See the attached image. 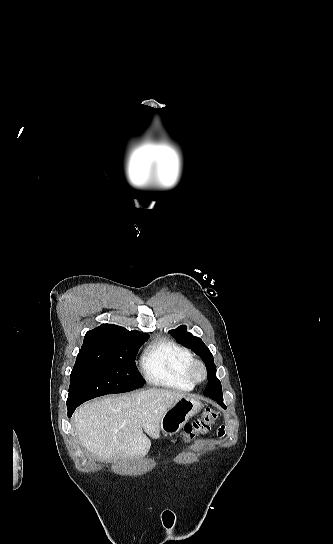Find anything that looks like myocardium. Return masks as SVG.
I'll return each instance as SVG.
<instances>
[{
    "instance_id": "1",
    "label": "myocardium",
    "mask_w": 333,
    "mask_h": 544,
    "mask_svg": "<svg viewBox=\"0 0 333 544\" xmlns=\"http://www.w3.org/2000/svg\"><path fill=\"white\" fill-rule=\"evenodd\" d=\"M198 372L201 376H198ZM186 377L193 385L204 382L207 378L206 366L202 361L193 359L186 368Z\"/></svg>"
}]
</instances>
